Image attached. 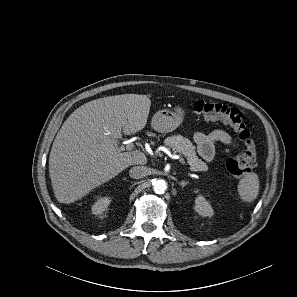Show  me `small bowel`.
Returning a JSON list of instances; mask_svg holds the SVG:
<instances>
[{"instance_id":"obj_1","label":"small bowel","mask_w":297,"mask_h":297,"mask_svg":"<svg viewBox=\"0 0 297 297\" xmlns=\"http://www.w3.org/2000/svg\"><path fill=\"white\" fill-rule=\"evenodd\" d=\"M193 140L197 144L198 153L201 158L210 162L214 157V145L219 142L224 145L231 143L230 135L224 130H213L206 134L200 131H196L193 134Z\"/></svg>"}]
</instances>
